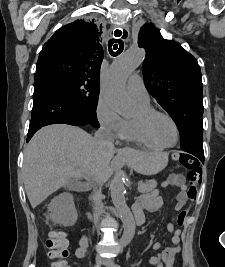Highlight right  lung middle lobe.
<instances>
[{
	"mask_svg": "<svg viewBox=\"0 0 225 267\" xmlns=\"http://www.w3.org/2000/svg\"><path fill=\"white\" fill-rule=\"evenodd\" d=\"M48 76L68 92L74 102L87 115L90 123L95 127H99L96 115L99 85L76 76L64 74H51Z\"/></svg>",
	"mask_w": 225,
	"mask_h": 267,
	"instance_id": "1",
	"label": "right lung middle lobe"
}]
</instances>
